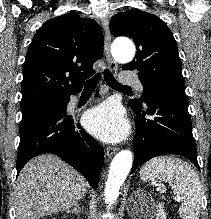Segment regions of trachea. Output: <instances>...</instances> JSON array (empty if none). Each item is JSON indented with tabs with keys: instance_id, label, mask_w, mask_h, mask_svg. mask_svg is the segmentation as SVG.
I'll return each mask as SVG.
<instances>
[{
	"instance_id": "1",
	"label": "trachea",
	"mask_w": 211,
	"mask_h": 219,
	"mask_svg": "<svg viewBox=\"0 0 211 219\" xmlns=\"http://www.w3.org/2000/svg\"><path fill=\"white\" fill-rule=\"evenodd\" d=\"M105 82L113 89L116 90H123V89H131L129 86H124L121 83L117 82L114 78L113 74L108 70L105 69L103 72ZM101 77V74H98L91 78L90 80L85 82L84 85V92H92L97 87L98 81Z\"/></svg>"
}]
</instances>
